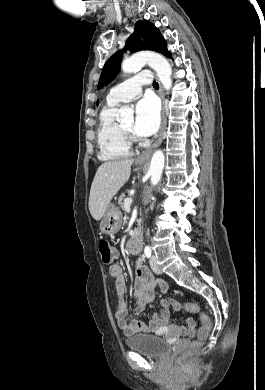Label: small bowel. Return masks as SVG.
I'll return each instance as SVG.
<instances>
[{
	"label": "small bowel",
	"instance_id": "small-bowel-1",
	"mask_svg": "<svg viewBox=\"0 0 265 390\" xmlns=\"http://www.w3.org/2000/svg\"><path fill=\"white\" fill-rule=\"evenodd\" d=\"M114 255H118L117 250H114ZM109 274L115 278V317L117 319L118 327L126 335H133L136 333H163L167 328L170 318L171 305L169 301L166 299L161 300L160 311L153 313L148 323L140 320L128 321L124 269L122 266L114 264L109 268ZM156 287H159L162 293H166L168 290V285L164 280L156 279L146 266L141 262H138L136 265V279L134 282V296L136 298V305L134 307L135 315L141 314L147 305L152 303ZM173 329L180 335L194 337L196 333V323L193 318L189 317L185 319L183 324L177 325Z\"/></svg>",
	"mask_w": 265,
	"mask_h": 390
}]
</instances>
